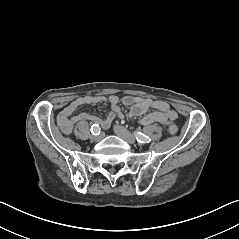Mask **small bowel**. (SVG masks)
<instances>
[{"mask_svg": "<svg viewBox=\"0 0 239 239\" xmlns=\"http://www.w3.org/2000/svg\"><path fill=\"white\" fill-rule=\"evenodd\" d=\"M120 99L116 95L109 97L103 96H84L77 98L69 105L64 107L58 115V124L65 134L72 132L76 122L92 121L103 128H109L115 118L123 119L124 113L119 106ZM107 103L111 106V111L105 117H96L87 113L73 115L82 105ZM122 103L129 107L130 117H140L142 125L159 123L168 125L177 118V113L170 105L162 100H152L149 98L124 96ZM153 110L152 112H148Z\"/></svg>", "mask_w": 239, "mask_h": 239, "instance_id": "c3829d8e", "label": "small bowel"}]
</instances>
